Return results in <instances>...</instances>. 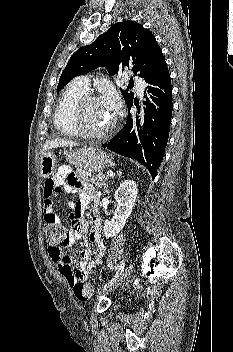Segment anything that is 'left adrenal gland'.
<instances>
[{
    "label": "left adrenal gland",
    "instance_id": "a2214340",
    "mask_svg": "<svg viewBox=\"0 0 233 352\" xmlns=\"http://www.w3.org/2000/svg\"><path fill=\"white\" fill-rule=\"evenodd\" d=\"M121 174H122L121 172L118 173L119 176H121Z\"/></svg>",
    "mask_w": 233,
    "mask_h": 352
}]
</instances>
